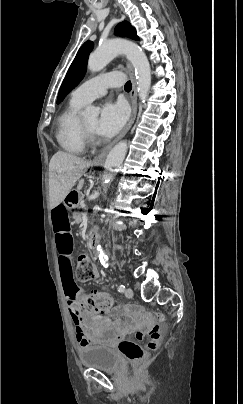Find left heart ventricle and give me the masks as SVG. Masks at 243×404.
<instances>
[{"label":"left heart ventricle","mask_w":243,"mask_h":404,"mask_svg":"<svg viewBox=\"0 0 243 404\" xmlns=\"http://www.w3.org/2000/svg\"><path fill=\"white\" fill-rule=\"evenodd\" d=\"M85 128L91 132H94L96 126V119L81 121Z\"/></svg>","instance_id":"obj_1"}]
</instances>
